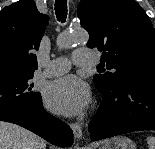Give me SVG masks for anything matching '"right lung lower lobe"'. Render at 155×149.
Listing matches in <instances>:
<instances>
[{
    "instance_id": "obj_1",
    "label": "right lung lower lobe",
    "mask_w": 155,
    "mask_h": 149,
    "mask_svg": "<svg viewBox=\"0 0 155 149\" xmlns=\"http://www.w3.org/2000/svg\"><path fill=\"white\" fill-rule=\"evenodd\" d=\"M0 121L18 124L56 146L67 147L73 143L71 128L47 113L43 109L42 99L27 112L0 110Z\"/></svg>"
}]
</instances>
